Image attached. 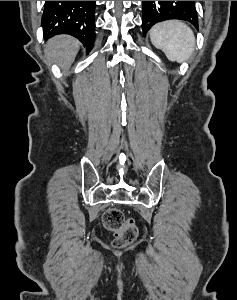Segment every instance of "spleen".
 <instances>
[{
  "instance_id": "1",
  "label": "spleen",
  "mask_w": 237,
  "mask_h": 300,
  "mask_svg": "<svg viewBox=\"0 0 237 300\" xmlns=\"http://www.w3.org/2000/svg\"><path fill=\"white\" fill-rule=\"evenodd\" d=\"M150 39L156 49H161L169 61L185 63L195 49L192 29L181 21H164L151 29Z\"/></svg>"
}]
</instances>
